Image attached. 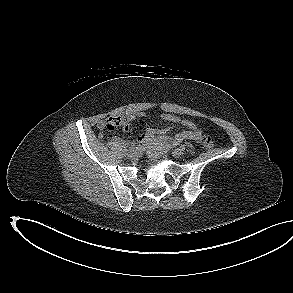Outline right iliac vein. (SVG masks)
I'll use <instances>...</instances> for the list:
<instances>
[{
	"label": "right iliac vein",
	"mask_w": 293,
	"mask_h": 293,
	"mask_svg": "<svg viewBox=\"0 0 293 293\" xmlns=\"http://www.w3.org/2000/svg\"><path fill=\"white\" fill-rule=\"evenodd\" d=\"M137 155H138L137 150H129V151L127 152V156L130 157V158H134V157H136Z\"/></svg>",
	"instance_id": "1"
}]
</instances>
